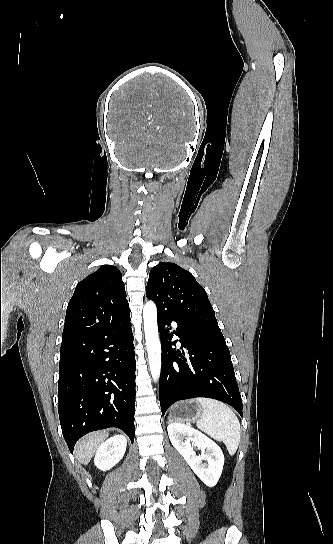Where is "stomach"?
Masks as SVG:
<instances>
[{
    "mask_svg": "<svg viewBox=\"0 0 333 544\" xmlns=\"http://www.w3.org/2000/svg\"><path fill=\"white\" fill-rule=\"evenodd\" d=\"M201 412L202 409L195 400L180 402L171 408L169 419L178 422L195 421Z\"/></svg>",
    "mask_w": 333,
    "mask_h": 544,
    "instance_id": "1",
    "label": "stomach"
}]
</instances>
